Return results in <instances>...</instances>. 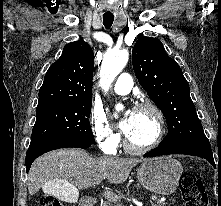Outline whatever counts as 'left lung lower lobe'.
<instances>
[{"mask_svg":"<svg viewBox=\"0 0 221 206\" xmlns=\"http://www.w3.org/2000/svg\"><path fill=\"white\" fill-rule=\"evenodd\" d=\"M168 154H186L205 158L212 166H215L213 154L210 145L186 144V145H170L161 146L147 152L144 157H155Z\"/></svg>","mask_w":221,"mask_h":206,"instance_id":"obj_1","label":"left lung lower lobe"}]
</instances>
